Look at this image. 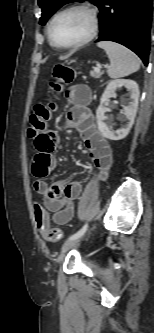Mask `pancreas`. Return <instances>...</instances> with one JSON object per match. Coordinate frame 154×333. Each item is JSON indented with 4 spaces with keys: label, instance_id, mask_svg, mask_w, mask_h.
<instances>
[{
    "label": "pancreas",
    "instance_id": "pancreas-1",
    "mask_svg": "<svg viewBox=\"0 0 154 333\" xmlns=\"http://www.w3.org/2000/svg\"><path fill=\"white\" fill-rule=\"evenodd\" d=\"M103 72L98 71L96 68H94L91 72L90 75L94 78H100Z\"/></svg>",
    "mask_w": 154,
    "mask_h": 333
}]
</instances>
